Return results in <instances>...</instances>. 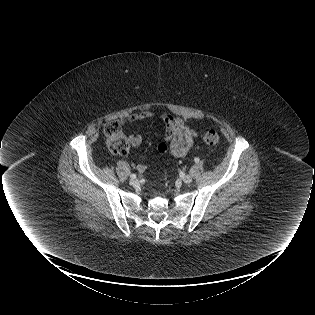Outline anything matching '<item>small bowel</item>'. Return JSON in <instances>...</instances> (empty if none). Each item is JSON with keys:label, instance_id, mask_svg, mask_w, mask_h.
Segmentation results:
<instances>
[{"label": "small bowel", "instance_id": "c3829d8e", "mask_svg": "<svg viewBox=\"0 0 315 315\" xmlns=\"http://www.w3.org/2000/svg\"><path fill=\"white\" fill-rule=\"evenodd\" d=\"M145 119H158L165 125L163 141L157 145L160 154H170L174 157H184L193 147L194 140L199 133L192 128L183 118L169 113H153L151 111H141L129 114L123 118L124 122H136ZM128 141L131 146L139 147L142 144V137L138 134L129 136ZM147 166L138 164L136 169L143 173Z\"/></svg>", "mask_w": 315, "mask_h": 315}]
</instances>
